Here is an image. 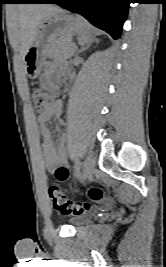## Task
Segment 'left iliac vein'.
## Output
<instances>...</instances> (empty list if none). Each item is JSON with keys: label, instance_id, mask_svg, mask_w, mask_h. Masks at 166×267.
<instances>
[{"label": "left iliac vein", "instance_id": "obj_1", "mask_svg": "<svg viewBox=\"0 0 166 267\" xmlns=\"http://www.w3.org/2000/svg\"><path fill=\"white\" fill-rule=\"evenodd\" d=\"M95 169V159L92 155H88L84 162L83 175L85 179H90Z\"/></svg>", "mask_w": 166, "mask_h": 267}]
</instances>
